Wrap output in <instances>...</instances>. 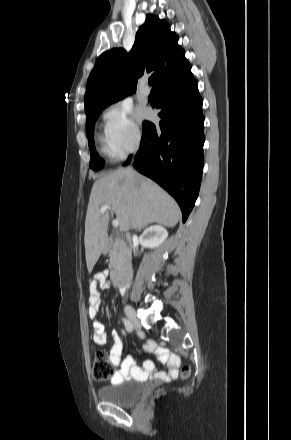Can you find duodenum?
<instances>
[{
  "mask_svg": "<svg viewBox=\"0 0 291 440\" xmlns=\"http://www.w3.org/2000/svg\"><path fill=\"white\" fill-rule=\"evenodd\" d=\"M110 277L115 285L129 283L132 278V266L128 256L121 257L112 267Z\"/></svg>",
  "mask_w": 291,
  "mask_h": 440,
  "instance_id": "duodenum-1",
  "label": "duodenum"
}]
</instances>
